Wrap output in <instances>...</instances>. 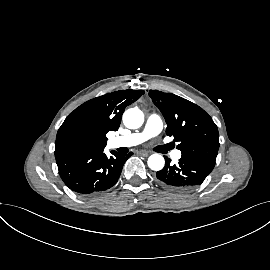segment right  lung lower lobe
Returning a JSON list of instances; mask_svg holds the SVG:
<instances>
[{
  "label": "right lung lower lobe",
  "instance_id": "1",
  "mask_svg": "<svg viewBox=\"0 0 270 270\" xmlns=\"http://www.w3.org/2000/svg\"><path fill=\"white\" fill-rule=\"evenodd\" d=\"M103 148L87 147L55 154L59 175L71 190L82 195H95L114 186L125 161L133 154L107 157Z\"/></svg>",
  "mask_w": 270,
  "mask_h": 270
}]
</instances>
